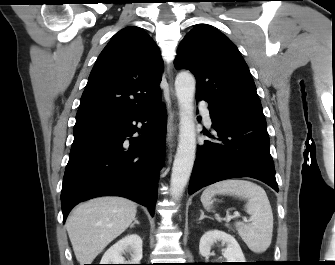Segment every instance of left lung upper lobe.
I'll return each mask as SVG.
<instances>
[{
	"mask_svg": "<svg viewBox=\"0 0 335 265\" xmlns=\"http://www.w3.org/2000/svg\"><path fill=\"white\" fill-rule=\"evenodd\" d=\"M176 69L196 78V96L256 126L267 129L249 68L234 43L216 28L199 24L181 42Z\"/></svg>",
	"mask_w": 335,
	"mask_h": 265,
	"instance_id": "5c2ea615",
	"label": "left lung upper lobe"
}]
</instances>
